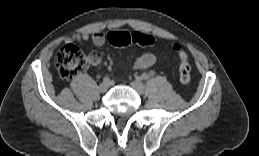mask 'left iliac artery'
<instances>
[{
  "label": "left iliac artery",
  "mask_w": 259,
  "mask_h": 156,
  "mask_svg": "<svg viewBox=\"0 0 259 156\" xmlns=\"http://www.w3.org/2000/svg\"><path fill=\"white\" fill-rule=\"evenodd\" d=\"M141 79L147 80V79H149V75H148L147 73H143V74L141 75Z\"/></svg>",
  "instance_id": "44dca946"
}]
</instances>
